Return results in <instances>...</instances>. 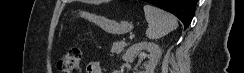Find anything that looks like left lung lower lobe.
I'll return each instance as SVG.
<instances>
[{
	"label": "left lung lower lobe",
	"mask_w": 244,
	"mask_h": 73,
	"mask_svg": "<svg viewBox=\"0 0 244 73\" xmlns=\"http://www.w3.org/2000/svg\"><path fill=\"white\" fill-rule=\"evenodd\" d=\"M173 13L187 28L192 21L197 0H144Z\"/></svg>",
	"instance_id": "obj_1"
}]
</instances>
